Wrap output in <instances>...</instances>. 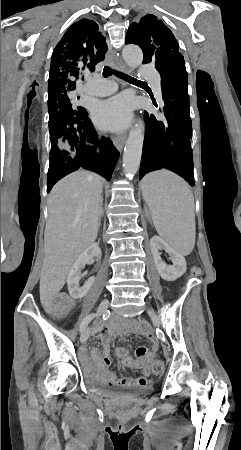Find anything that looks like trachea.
<instances>
[{"label": "trachea", "mask_w": 241, "mask_h": 450, "mask_svg": "<svg viewBox=\"0 0 241 450\" xmlns=\"http://www.w3.org/2000/svg\"><path fill=\"white\" fill-rule=\"evenodd\" d=\"M112 74L116 75L117 77L124 78L125 80H128V81H132V82L140 81V80H137L136 78L130 77L126 74H122V72H117L109 66H105L104 70H103V77H110Z\"/></svg>", "instance_id": "trachea-1"}]
</instances>
